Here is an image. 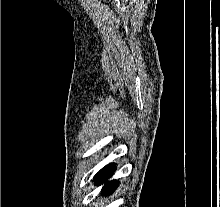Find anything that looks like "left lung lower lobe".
I'll return each mask as SVG.
<instances>
[{
	"mask_svg": "<svg viewBox=\"0 0 220 207\" xmlns=\"http://www.w3.org/2000/svg\"><path fill=\"white\" fill-rule=\"evenodd\" d=\"M116 169V166L114 163L105 166L102 170H100L94 177V184L100 185L101 183H105L102 194L109 195L111 194L119 185L117 181H108L107 178H109L114 170Z\"/></svg>",
	"mask_w": 220,
	"mask_h": 207,
	"instance_id": "0a47b994",
	"label": "left lung lower lobe"
}]
</instances>
